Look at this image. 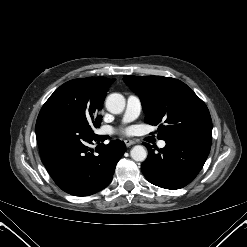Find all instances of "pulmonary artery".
Here are the masks:
<instances>
[{
  "label": "pulmonary artery",
  "mask_w": 247,
  "mask_h": 247,
  "mask_svg": "<svg viewBox=\"0 0 247 247\" xmlns=\"http://www.w3.org/2000/svg\"><path fill=\"white\" fill-rule=\"evenodd\" d=\"M141 101L139 99L138 96L136 95H129L127 97V104H126V109L123 115V122L127 123V122H131L133 120H135L136 118H138V116L141 113ZM166 143L163 140H160L158 142V146L160 148L165 147Z\"/></svg>",
  "instance_id": "pulmonary-artery-1"
}]
</instances>
